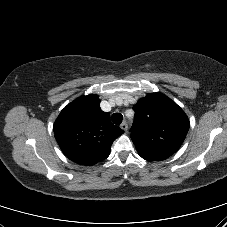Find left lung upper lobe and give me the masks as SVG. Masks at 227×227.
I'll return each mask as SVG.
<instances>
[{
  "label": "left lung upper lobe",
  "mask_w": 227,
  "mask_h": 227,
  "mask_svg": "<svg viewBox=\"0 0 227 227\" xmlns=\"http://www.w3.org/2000/svg\"><path fill=\"white\" fill-rule=\"evenodd\" d=\"M133 110L131 139L143 159L165 160L180 148L189 129V120L175 102L157 92L141 98Z\"/></svg>",
  "instance_id": "5c2ea615"
}]
</instances>
